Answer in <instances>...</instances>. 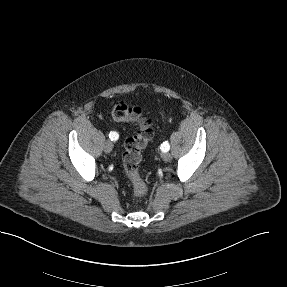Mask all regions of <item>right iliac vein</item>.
<instances>
[{
  "mask_svg": "<svg viewBox=\"0 0 287 287\" xmlns=\"http://www.w3.org/2000/svg\"><path fill=\"white\" fill-rule=\"evenodd\" d=\"M113 149V144L111 141H106L105 144H104V151L106 153H110Z\"/></svg>",
  "mask_w": 287,
  "mask_h": 287,
  "instance_id": "obj_1",
  "label": "right iliac vein"
}]
</instances>
